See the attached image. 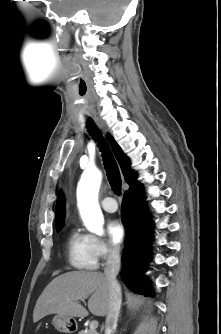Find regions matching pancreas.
<instances>
[{"mask_svg":"<svg viewBox=\"0 0 221 334\" xmlns=\"http://www.w3.org/2000/svg\"><path fill=\"white\" fill-rule=\"evenodd\" d=\"M78 334H99L96 330L92 331V330H81L80 332H78Z\"/></svg>","mask_w":221,"mask_h":334,"instance_id":"1","label":"pancreas"}]
</instances>
